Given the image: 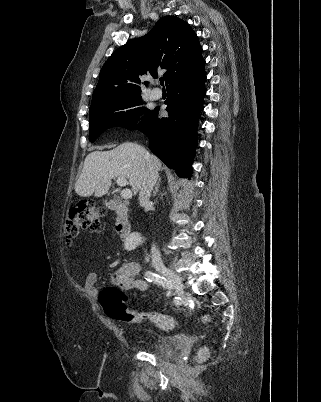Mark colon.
<instances>
[{"instance_id": "colon-1", "label": "colon", "mask_w": 321, "mask_h": 402, "mask_svg": "<svg viewBox=\"0 0 321 402\" xmlns=\"http://www.w3.org/2000/svg\"><path fill=\"white\" fill-rule=\"evenodd\" d=\"M104 211L97 208L92 202H79L74 204L68 212L65 222V234L68 241L76 239L82 230L95 231L100 226V219ZM100 305L104 313L111 319L118 321H128L131 313L128 309V296L115 286H106L100 292ZM142 318L149 320L164 330H171L177 327V321L165 314L146 313ZM204 322L209 321V317L203 318ZM209 356L207 348L200 349L197 359L205 360Z\"/></svg>"}]
</instances>
